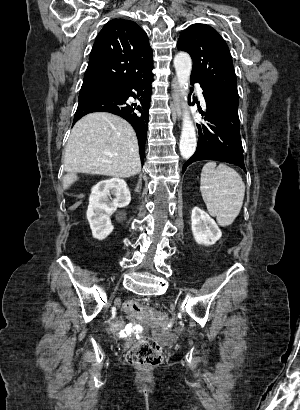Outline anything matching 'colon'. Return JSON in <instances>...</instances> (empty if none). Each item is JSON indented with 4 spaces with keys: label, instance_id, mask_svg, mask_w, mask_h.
Returning <instances> with one entry per match:
<instances>
[{
    "label": "colon",
    "instance_id": "5ec220e1",
    "mask_svg": "<svg viewBox=\"0 0 300 410\" xmlns=\"http://www.w3.org/2000/svg\"><path fill=\"white\" fill-rule=\"evenodd\" d=\"M125 310L135 316L142 317L137 320L138 326L156 325L164 327L169 322V315L161 313L159 308H149L136 301H127ZM126 361L135 367L147 368L157 366L162 361L160 345L153 339H144L134 345L127 352Z\"/></svg>",
    "mask_w": 300,
    "mask_h": 410
}]
</instances>
